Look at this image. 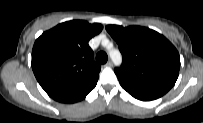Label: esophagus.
Here are the masks:
<instances>
[{
  "label": "esophagus",
  "instance_id": "34e87169",
  "mask_svg": "<svg viewBox=\"0 0 203 123\" xmlns=\"http://www.w3.org/2000/svg\"><path fill=\"white\" fill-rule=\"evenodd\" d=\"M105 66H107V67H112V66H113V63H112L111 61H108V62L105 64Z\"/></svg>",
  "mask_w": 203,
  "mask_h": 123
}]
</instances>
